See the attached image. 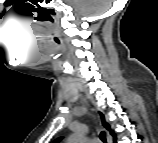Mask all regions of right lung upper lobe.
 Instances as JSON below:
<instances>
[{
	"label": "right lung upper lobe",
	"instance_id": "cb5924a9",
	"mask_svg": "<svg viewBox=\"0 0 158 143\" xmlns=\"http://www.w3.org/2000/svg\"><path fill=\"white\" fill-rule=\"evenodd\" d=\"M100 114H101V120H102L103 126H104L107 130L111 131V134L115 137L114 132L111 130L110 126H109L108 123L105 121V118H104L103 114H102V113H100ZM60 139H61V138H59L58 141H59ZM114 140L116 141V137H115Z\"/></svg>",
	"mask_w": 158,
	"mask_h": 143
}]
</instances>
